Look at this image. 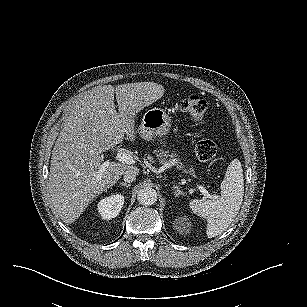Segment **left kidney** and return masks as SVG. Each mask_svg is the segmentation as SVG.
<instances>
[{
	"label": "left kidney",
	"mask_w": 307,
	"mask_h": 307,
	"mask_svg": "<svg viewBox=\"0 0 307 307\" xmlns=\"http://www.w3.org/2000/svg\"><path fill=\"white\" fill-rule=\"evenodd\" d=\"M193 219L189 215L177 216L173 223V229L182 235H189L193 230Z\"/></svg>",
	"instance_id": "left-kidney-1"
}]
</instances>
